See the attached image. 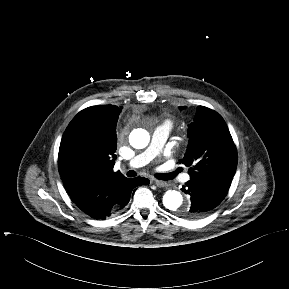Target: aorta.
I'll list each match as a JSON object with an SVG mask.
<instances>
[{
	"label": "aorta",
	"instance_id": "1",
	"mask_svg": "<svg viewBox=\"0 0 289 289\" xmlns=\"http://www.w3.org/2000/svg\"><path fill=\"white\" fill-rule=\"evenodd\" d=\"M150 140L149 133L144 129H137L129 138L130 144L136 149L145 148ZM163 205L171 211L187 210L188 205L183 202V197L176 190H168L163 196Z\"/></svg>",
	"mask_w": 289,
	"mask_h": 289
}]
</instances>
